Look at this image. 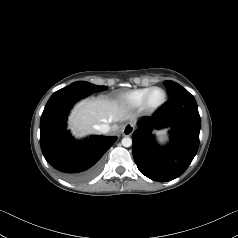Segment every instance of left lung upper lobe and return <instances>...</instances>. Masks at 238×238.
Returning a JSON list of instances; mask_svg holds the SVG:
<instances>
[{
    "label": "left lung upper lobe",
    "mask_w": 238,
    "mask_h": 238,
    "mask_svg": "<svg viewBox=\"0 0 238 238\" xmlns=\"http://www.w3.org/2000/svg\"><path fill=\"white\" fill-rule=\"evenodd\" d=\"M164 84H165V87L167 89V93L170 97L174 96L179 91L184 90V88L181 85H179L178 83H176L174 81H169L168 80V81H165Z\"/></svg>",
    "instance_id": "1"
}]
</instances>
